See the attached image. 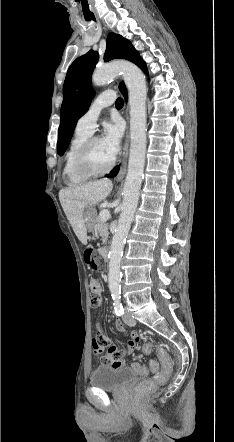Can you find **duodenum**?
Masks as SVG:
<instances>
[{
	"instance_id": "obj_1",
	"label": "duodenum",
	"mask_w": 234,
	"mask_h": 442,
	"mask_svg": "<svg viewBox=\"0 0 234 442\" xmlns=\"http://www.w3.org/2000/svg\"><path fill=\"white\" fill-rule=\"evenodd\" d=\"M100 256H101V258L103 259V261L105 263H108V261H109V249H108V247H102L100 249Z\"/></svg>"
}]
</instances>
